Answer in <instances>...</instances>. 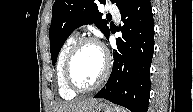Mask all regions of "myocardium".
Here are the masks:
<instances>
[{
	"label": "myocardium",
	"instance_id": "f54148a6",
	"mask_svg": "<svg viewBox=\"0 0 193 112\" xmlns=\"http://www.w3.org/2000/svg\"><path fill=\"white\" fill-rule=\"evenodd\" d=\"M89 43L96 44L102 50V53L104 56V68H103V71L100 77L93 85L89 87H80L79 85L75 83L72 77L71 66H72L74 56L79 51V49L82 46L89 44ZM110 70H111V57L108 51L106 50L105 46L101 43L99 39L95 37L87 36V37H82L78 39L70 48L67 54L66 60H65V64H64V77H65L66 84L70 90H72L76 94H84V93H88V92L94 91L97 88H99L106 81L110 73Z\"/></svg>",
	"mask_w": 193,
	"mask_h": 112
}]
</instances>
